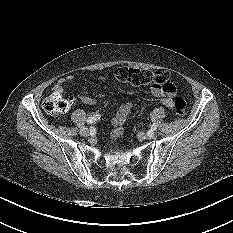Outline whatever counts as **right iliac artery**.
Instances as JSON below:
<instances>
[{"label": "right iliac artery", "instance_id": "1", "mask_svg": "<svg viewBox=\"0 0 233 233\" xmlns=\"http://www.w3.org/2000/svg\"><path fill=\"white\" fill-rule=\"evenodd\" d=\"M98 116V117H97ZM97 119H99V115H96V116H93V117H89L88 119H87V123L88 124H92V123H94Z\"/></svg>", "mask_w": 233, "mask_h": 233}]
</instances>
